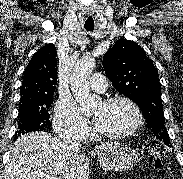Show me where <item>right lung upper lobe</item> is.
Returning <instances> with one entry per match:
<instances>
[{
	"label": "right lung upper lobe",
	"instance_id": "obj_1",
	"mask_svg": "<svg viewBox=\"0 0 183 179\" xmlns=\"http://www.w3.org/2000/svg\"><path fill=\"white\" fill-rule=\"evenodd\" d=\"M56 48L47 44L31 58L20 88V101L53 96L57 85Z\"/></svg>",
	"mask_w": 183,
	"mask_h": 179
}]
</instances>
